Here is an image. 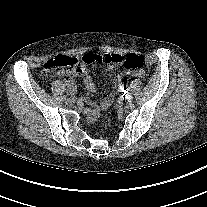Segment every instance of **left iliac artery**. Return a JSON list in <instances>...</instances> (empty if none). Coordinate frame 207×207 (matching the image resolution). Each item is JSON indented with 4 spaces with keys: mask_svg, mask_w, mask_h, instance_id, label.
Returning a JSON list of instances; mask_svg holds the SVG:
<instances>
[{
    "mask_svg": "<svg viewBox=\"0 0 207 207\" xmlns=\"http://www.w3.org/2000/svg\"><path fill=\"white\" fill-rule=\"evenodd\" d=\"M132 95H133V92H132V91H129V92H127V93L125 94V97H126L127 99H130V98L132 97Z\"/></svg>",
    "mask_w": 207,
    "mask_h": 207,
    "instance_id": "left-iliac-artery-1",
    "label": "left iliac artery"
}]
</instances>
